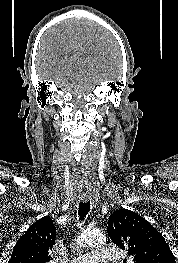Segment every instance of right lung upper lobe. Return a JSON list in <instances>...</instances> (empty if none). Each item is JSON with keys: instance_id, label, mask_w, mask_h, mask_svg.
Masks as SVG:
<instances>
[{"instance_id": "cb5924a9", "label": "right lung upper lobe", "mask_w": 178, "mask_h": 263, "mask_svg": "<svg viewBox=\"0 0 178 263\" xmlns=\"http://www.w3.org/2000/svg\"><path fill=\"white\" fill-rule=\"evenodd\" d=\"M55 239L52 219L45 216L37 220L17 241L8 263H49Z\"/></svg>"}]
</instances>
